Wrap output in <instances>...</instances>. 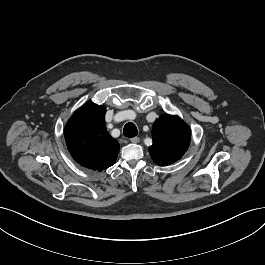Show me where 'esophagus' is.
<instances>
[{
    "mask_svg": "<svg viewBox=\"0 0 265 265\" xmlns=\"http://www.w3.org/2000/svg\"><path fill=\"white\" fill-rule=\"evenodd\" d=\"M130 141L132 142V143H139L140 142V138L139 137H133V138H131L130 139Z\"/></svg>",
    "mask_w": 265,
    "mask_h": 265,
    "instance_id": "esophagus-1",
    "label": "esophagus"
}]
</instances>
